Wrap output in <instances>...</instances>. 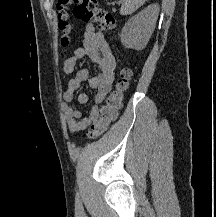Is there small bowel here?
<instances>
[{
    "label": "small bowel",
    "instance_id": "obj_1",
    "mask_svg": "<svg viewBox=\"0 0 216 217\" xmlns=\"http://www.w3.org/2000/svg\"><path fill=\"white\" fill-rule=\"evenodd\" d=\"M80 46L77 47L72 56L67 58L63 64V70L71 75L75 72L77 62L85 57L90 58L100 69L98 75L90 76L87 69H80L75 76L69 80L67 90L63 94L64 120L70 133L74 134L87 129L98 117L99 105L105 100L112 89L116 59L111 45L105 36L95 30L93 25L88 24L79 37ZM96 90L94 105L89 115L83 116L81 111L72 105L74 93L83 82ZM78 104H85L88 95L81 92L76 97Z\"/></svg>",
    "mask_w": 216,
    "mask_h": 217
}]
</instances>
